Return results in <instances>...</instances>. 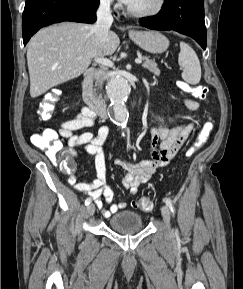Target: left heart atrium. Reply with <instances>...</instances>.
I'll use <instances>...</instances> for the list:
<instances>
[{"label":"left heart atrium","mask_w":243,"mask_h":289,"mask_svg":"<svg viewBox=\"0 0 243 289\" xmlns=\"http://www.w3.org/2000/svg\"><path fill=\"white\" fill-rule=\"evenodd\" d=\"M120 1L127 5H129L132 2V0H120Z\"/></svg>","instance_id":"obj_1"}]
</instances>
